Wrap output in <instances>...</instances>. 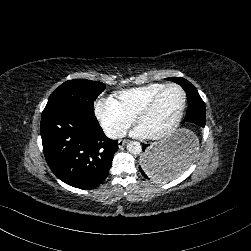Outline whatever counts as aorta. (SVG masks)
I'll return each instance as SVG.
<instances>
[{"instance_id":"1","label":"aorta","mask_w":251,"mask_h":251,"mask_svg":"<svg viewBox=\"0 0 251 251\" xmlns=\"http://www.w3.org/2000/svg\"><path fill=\"white\" fill-rule=\"evenodd\" d=\"M126 149L130 154H139L141 152V145L137 141H130L126 144Z\"/></svg>"}]
</instances>
